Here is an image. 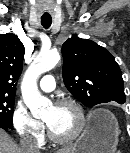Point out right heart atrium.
I'll return each mask as SVG.
<instances>
[{"label":"right heart atrium","mask_w":130,"mask_h":153,"mask_svg":"<svg viewBox=\"0 0 130 153\" xmlns=\"http://www.w3.org/2000/svg\"><path fill=\"white\" fill-rule=\"evenodd\" d=\"M11 122L21 139L39 144L43 142L45 135L44 123L34 118L22 102H18L15 105L11 115Z\"/></svg>","instance_id":"right-heart-atrium-1"}]
</instances>
